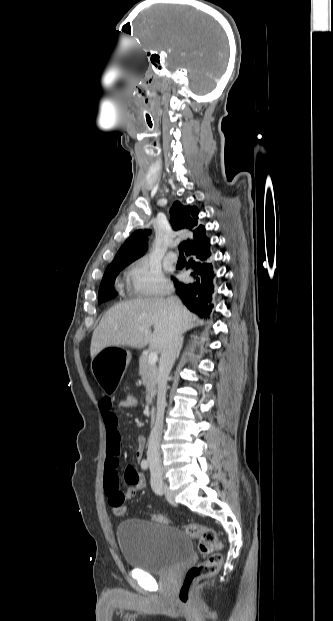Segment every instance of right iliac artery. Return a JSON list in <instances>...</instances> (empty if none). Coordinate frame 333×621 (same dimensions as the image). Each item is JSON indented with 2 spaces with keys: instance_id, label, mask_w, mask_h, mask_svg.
<instances>
[{
  "instance_id": "obj_1",
  "label": "right iliac artery",
  "mask_w": 333,
  "mask_h": 621,
  "mask_svg": "<svg viewBox=\"0 0 333 621\" xmlns=\"http://www.w3.org/2000/svg\"><path fill=\"white\" fill-rule=\"evenodd\" d=\"M148 466H149L148 461L146 459H143L142 462H141V468L143 470H147Z\"/></svg>"
}]
</instances>
